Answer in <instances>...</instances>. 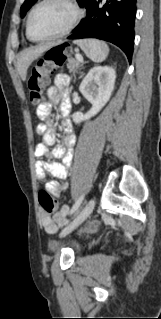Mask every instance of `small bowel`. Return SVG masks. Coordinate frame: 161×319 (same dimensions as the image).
Returning <instances> with one entry per match:
<instances>
[{"mask_svg": "<svg viewBox=\"0 0 161 319\" xmlns=\"http://www.w3.org/2000/svg\"><path fill=\"white\" fill-rule=\"evenodd\" d=\"M59 104L62 119L60 122L64 134V144H56V131L49 123L52 105ZM71 110L70 89L66 74H58L55 77L54 85L47 90V100L37 108V116L46 124H39L36 127L37 133L43 136V142L38 143L34 148V155L38 159L35 167L36 176L42 179L46 173L52 175L55 180L49 185V190L55 198H60L62 192L68 188L66 179L67 168L72 164V149L76 143V135L73 131L71 121L67 118ZM55 145L51 157L63 158V163L49 161L47 159V146ZM70 207L62 205L55 214L43 210L40 223L46 232H54L58 227L67 222Z\"/></svg>", "mask_w": 161, "mask_h": 319, "instance_id": "1", "label": "small bowel"}]
</instances>
